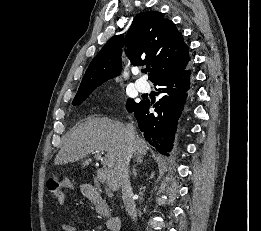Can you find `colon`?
<instances>
[{
    "mask_svg": "<svg viewBox=\"0 0 261 231\" xmlns=\"http://www.w3.org/2000/svg\"><path fill=\"white\" fill-rule=\"evenodd\" d=\"M49 191L55 195L58 200L62 199V191L58 184H54L50 187Z\"/></svg>",
    "mask_w": 261,
    "mask_h": 231,
    "instance_id": "1",
    "label": "colon"
}]
</instances>
